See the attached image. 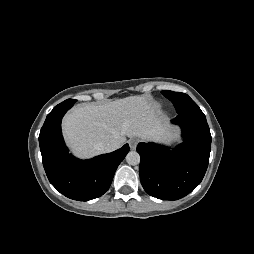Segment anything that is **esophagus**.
I'll list each match as a JSON object with an SVG mask.
<instances>
[{
    "label": "esophagus",
    "mask_w": 254,
    "mask_h": 254,
    "mask_svg": "<svg viewBox=\"0 0 254 254\" xmlns=\"http://www.w3.org/2000/svg\"><path fill=\"white\" fill-rule=\"evenodd\" d=\"M137 144H138V140H136V139H131V140L129 141L130 149H131V150H135L136 147H137Z\"/></svg>",
    "instance_id": "obj_1"
}]
</instances>
